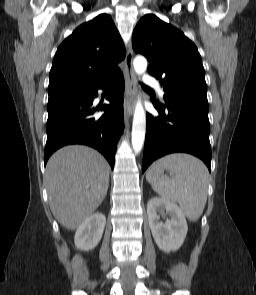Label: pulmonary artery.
<instances>
[{"mask_svg": "<svg viewBox=\"0 0 256 295\" xmlns=\"http://www.w3.org/2000/svg\"><path fill=\"white\" fill-rule=\"evenodd\" d=\"M143 81H144V83H145L146 85L158 89L160 95H163V94H164V93H163V90L161 89V87H160V85H159V83H158V81H157L154 77H152L151 75H147V74L144 75Z\"/></svg>", "mask_w": 256, "mask_h": 295, "instance_id": "obj_1", "label": "pulmonary artery"}]
</instances>
